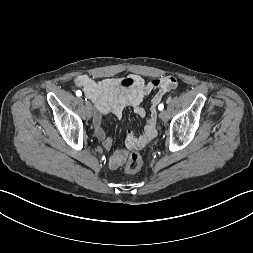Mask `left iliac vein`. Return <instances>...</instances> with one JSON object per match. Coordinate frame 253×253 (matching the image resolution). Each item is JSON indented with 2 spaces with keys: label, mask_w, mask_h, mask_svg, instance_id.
Wrapping results in <instances>:
<instances>
[{
  "label": "left iliac vein",
  "mask_w": 253,
  "mask_h": 253,
  "mask_svg": "<svg viewBox=\"0 0 253 253\" xmlns=\"http://www.w3.org/2000/svg\"><path fill=\"white\" fill-rule=\"evenodd\" d=\"M159 117L162 119V120H165L167 118V112L164 110V111H161L160 114H159Z\"/></svg>",
  "instance_id": "4c4485c4"
}]
</instances>
